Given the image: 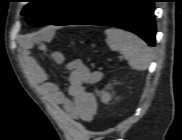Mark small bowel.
Returning a JSON list of instances; mask_svg holds the SVG:
<instances>
[{
  "mask_svg": "<svg viewBox=\"0 0 182 140\" xmlns=\"http://www.w3.org/2000/svg\"><path fill=\"white\" fill-rule=\"evenodd\" d=\"M43 36L45 40H49L51 32L46 30ZM52 59L57 64L65 63L61 52H53ZM25 63L30 78L53 107L63 110L73 120L90 122L93 119L98 108L97 98L87 91L86 85L98 83L102 79V72L91 70L81 59L70 61L66 64L70 73L65 94L58 85L48 80L46 71L34 58L26 57Z\"/></svg>",
  "mask_w": 182,
  "mask_h": 140,
  "instance_id": "1",
  "label": "small bowel"
}]
</instances>
